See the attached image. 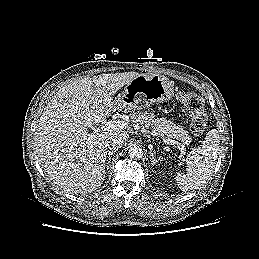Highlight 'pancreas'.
Wrapping results in <instances>:
<instances>
[{
    "label": "pancreas",
    "mask_w": 259,
    "mask_h": 259,
    "mask_svg": "<svg viewBox=\"0 0 259 259\" xmlns=\"http://www.w3.org/2000/svg\"><path fill=\"white\" fill-rule=\"evenodd\" d=\"M130 118L133 123L141 124L147 129H151L157 138L177 139L185 144L191 142L188 132L182 126L174 124L165 117H157L154 113L139 111L132 114Z\"/></svg>",
    "instance_id": "1"
}]
</instances>
